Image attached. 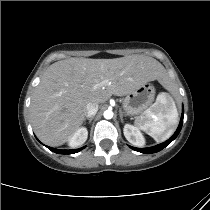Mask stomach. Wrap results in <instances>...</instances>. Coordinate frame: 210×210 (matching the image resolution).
<instances>
[{
    "mask_svg": "<svg viewBox=\"0 0 210 210\" xmlns=\"http://www.w3.org/2000/svg\"><path fill=\"white\" fill-rule=\"evenodd\" d=\"M155 96V87L146 83L128 93L123 99V109L127 115L144 114L152 104Z\"/></svg>",
    "mask_w": 210,
    "mask_h": 210,
    "instance_id": "0dacf381",
    "label": "stomach"
}]
</instances>
